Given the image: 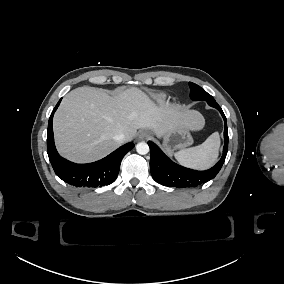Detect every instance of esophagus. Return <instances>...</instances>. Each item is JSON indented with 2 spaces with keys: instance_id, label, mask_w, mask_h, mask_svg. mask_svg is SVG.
I'll use <instances>...</instances> for the list:
<instances>
[{
  "instance_id": "1",
  "label": "esophagus",
  "mask_w": 284,
  "mask_h": 284,
  "mask_svg": "<svg viewBox=\"0 0 284 284\" xmlns=\"http://www.w3.org/2000/svg\"><path fill=\"white\" fill-rule=\"evenodd\" d=\"M145 137V134H140V138H144Z\"/></svg>"
}]
</instances>
